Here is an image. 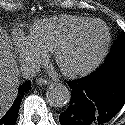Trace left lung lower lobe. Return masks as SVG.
Listing matches in <instances>:
<instances>
[{
	"instance_id": "obj_1",
	"label": "left lung lower lobe",
	"mask_w": 125,
	"mask_h": 125,
	"mask_svg": "<svg viewBox=\"0 0 125 125\" xmlns=\"http://www.w3.org/2000/svg\"><path fill=\"white\" fill-rule=\"evenodd\" d=\"M72 89L61 125H103L125 104V60L105 62L90 75L68 83Z\"/></svg>"
}]
</instances>
